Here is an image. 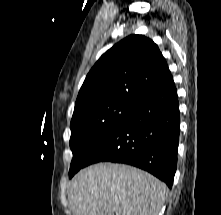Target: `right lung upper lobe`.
Returning <instances> with one entry per match:
<instances>
[{"label": "right lung upper lobe", "mask_w": 221, "mask_h": 215, "mask_svg": "<svg viewBox=\"0 0 221 215\" xmlns=\"http://www.w3.org/2000/svg\"><path fill=\"white\" fill-rule=\"evenodd\" d=\"M173 81L158 46L130 35L104 53L87 74L75 107L99 101L135 103Z\"/></svg>", "instance_id": "1"}]
</instances>
